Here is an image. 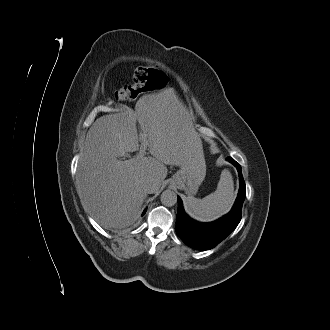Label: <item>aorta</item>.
Segmentation results:
<instances>
[{
    "label": "aorta",
    "mask_w": 330,
    "mask_h": 330,
    "mask_svg": "<svg viewBox=\"0 0 330 330\" xmlns=\"http://www.w3.org/2000/svg\"><path fill=\"white\" fill-rule=\"evenodd\" d=\"M161 203L164 206L172 207L177 203V195L173 190L167 189L161 194Z\"/></svg>",
    "instance_id": "1"
}]
</instances>
